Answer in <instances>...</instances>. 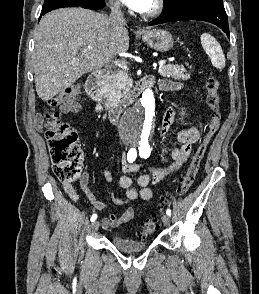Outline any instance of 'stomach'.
I'll return each instance as SVG.
<instances>
[{
	"label": "stomach",
	"mask_w": 259,
	"mask_h": 294,
	"mask_svg": "<svg viewBox=\"0 0 259 294\" xmlns=\"http://www.w3.org/2000/svg\"><path fill=\"white\" fill-rule=\"evenodd\" d=\"M142 39L149 47L158 52H167L174 46L171 33L161 29L144 31Z\"/></svg>",
	"instance_id": "stomach-1"
}]
</instances>
